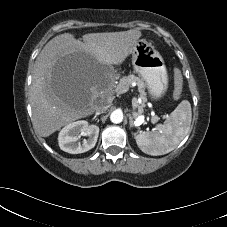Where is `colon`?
<instances>
[{
    "instance_id": "colon-1",
    "label": "colon",
    "mask_w": 227,
    "mask_h": 227,
    "mask_svg": "<svg viewBox=\"0 0 227 227\" xmlns=\"http://www.w3.org/2000/svg\"><path fill=\"white\" fill-rule=\"evenodd\" d=\"M175 91L174 95L175 97H179L182 92V86H183V79L181 73L176 70L175 73Z\"/></svg>"
}]
</instances>
